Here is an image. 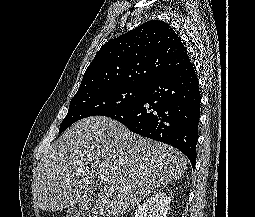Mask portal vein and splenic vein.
<instances>
[{"label": "portal vein and splenic vein", "instance_id": "portal-vein-and-splenic-vein-1", "mask_svg": "<svg viewBox=\"0 0 255 217\" xmlns=\"http://www.w3.org/2000/svg\"><path fill=\"white\" fill-rule=\"evenodd\" d=\"M106 181V179H104L102 182H105Z\"/></svg>", "mask_w": 255, "mask_h": 217}]
</instances>
